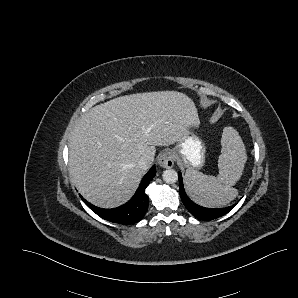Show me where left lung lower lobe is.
<instances>
[{
  "label": "left lung lower lobe",
  "instance_id": "0a47b994",
  "mask_svg": "<svg viewBox=\"0 0 298 298\" xmlns=\"http://www.w3.org/2000/svg\"><path fill=\"white\" fill-rule=\"evenodd\" d=\"M179 176V194L181 197V200L183 202V204L185 205V207L187 208V210L196 218L201 219V220H213L216 218H219L225 214H227L228 212H230L235 206L236 204L226 207V208H219V209H209V208H204L201 207L197 204H195L194 202H192L186 195L184 188H183V182H182V176L181 173H178Z\"/></svg>",
  "mask_w": 298,
  "mask_h": 298
}]
</instances>
